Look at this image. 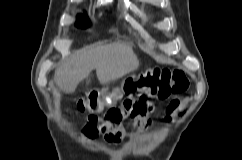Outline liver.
<instances>
[{"label": "liver", "instance_id": "obj_1", "mask_svg": "<svg viewBox=\"0 0 242 160\" xmlns=\"http://www.w3.org/2000/svg\"><path fill=\"white\" fill-rule=\"evenodd\" d=\"M139 60L132 47L121 43L93 46L74 53L55 70V81L65 93H73L93 70L103 85L137 70Z\"/></svg>", "mask_w": 242, "mask_h": 160}]
</instances>
